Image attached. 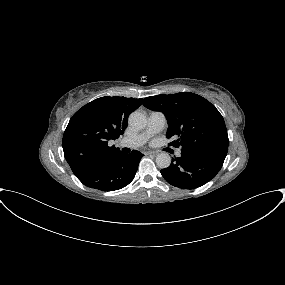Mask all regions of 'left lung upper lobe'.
I'll return each instance as SVG.
<instances>
[{
	"mask_svg": "<svg viewBox=\"0 0 285 285\" xmlns=\"http://www.w3.org/2000/svg\"><path fill=\"white\" fill-rule=\"evenodd\" d=\"M143 104L165 114L169 145L181 146L182 152L208 153L226 157L228 134L219 111L205 98L190 92L146 97Z\"/></svg>",
	"mask_w": 285,
	"mask_h": 285,
	"instance_id": "1",
	"label": "left lung upper lobe"
}]
</instances>
